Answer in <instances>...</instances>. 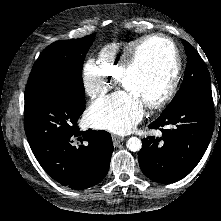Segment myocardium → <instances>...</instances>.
<instances>
[{"mask_svg":"<svg viewBox=\"0 0 221 221\" xmlns=\"http://www.w3.org/2000/svg\"><path fill=\"white\" fill-rule=\"evenodd\" d=\"M153 40H163L167 42V44L170 47L172 58H173V63H174L172 71L168 78V82L165 86V89L162 92L156 93L153 100L144 104L149 109H158V108H161L163 105H165L172 97L176 89L177 80H178V77L180 76L181 67H182V60L179 54V50L176 46V43L171 37L165 34H151V35H147L141 38L140 41H138L136 45L132 48L128 57V61L119 77V81H120L121 86L124 89H126V80L129 74L131 73V71L136 66L141 50L146 44H148L149 42Z\"/></svg>","mask_w":221,"mask_h":221,"instance_id":"obj_1","label":"myocardium"}]
</instances>
